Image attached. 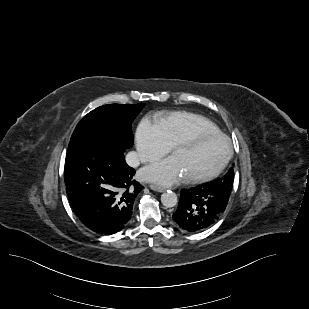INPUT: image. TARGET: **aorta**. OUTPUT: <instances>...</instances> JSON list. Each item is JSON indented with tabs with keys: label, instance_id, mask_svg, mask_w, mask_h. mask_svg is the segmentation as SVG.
Wrapping results in <instances>:
<instances>
[{
	"label": "aorta",
	"instance_id": "1",
	"mask_svg": "<svg viewBox=\"0 0 309 309\" xmlns=\"http://www.w3.org/2000/svg\"><path fill=\"white\" fill-rule=\"evenodd\" d=\"M161 203L167 208L174 207L177 204V195L173 191L164 192L161 195Z\"/></svg>",
	"mask_w": 309,
	"mask_h": 309
}]
</instances>
